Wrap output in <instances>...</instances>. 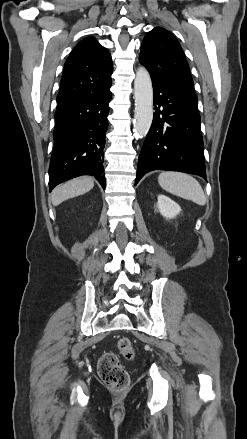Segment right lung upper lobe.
<instances>
[{
  "instance_id": "right-lung-upper-lobe-1",
  "label": "right lung upper lobe",
  "mask_w": 247,
  "mask_h": 439,
  "mask_svg": "<svg viewBox=\"0 0 247 439\" xmlns=\"http://www.w3.org/2000/svg\"><path fill=\"white\" fill-rule=\"evenodd\" d=\"M112 72V58L108 50L93 37L85 38L65 62L57 105L105 90L112 84Z\"/></svg>"
}]
</instances>
